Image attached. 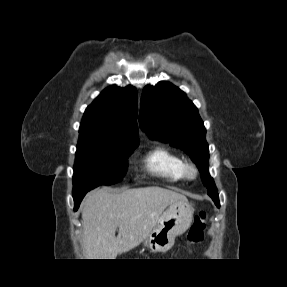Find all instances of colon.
I'll return each instance as SVG.
<instances>
[{
  "instance_id": "colon-1",
  "label": "colon",
  "mask_w": 287,
  "mask_h": 287,
  "mask_svg": "<svg viewBox=\"0 0 287 287\" xmlns=\"http://www.w3.org/2000/svg\"><path fill=\"white\" fill-rule=\"evenodd\" d=\"M206 221L207 214L204 211H200L196 214L192 226L188 231L186 247L196 244L203 239Z\"/></svg>"
}]
</instances>
